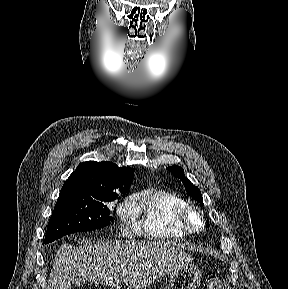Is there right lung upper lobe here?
Masks as SVG:
<instances>
[{
  "instance_id": "cb5924a9",
  "label": "right lung upper lobe",
  "mask_w": 288,
  "mask_h": 289,
  "mask_svg": "<svg viewBox=\"0 0 288 289\" xmlns=\"http://www.w3.org/2000/svg\"><path fill=\"white\" fill-rule=\"evenodd\" d=\"M134 170L118 167L108 161H87L80 163L64 183L60 193L95 194L108 190L128 191Z\"/></svg>"
}]
</instances>
